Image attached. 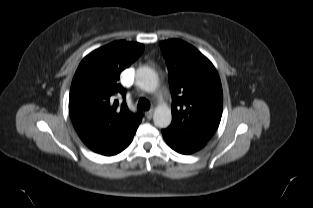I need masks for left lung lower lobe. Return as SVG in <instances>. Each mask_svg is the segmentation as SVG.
Masks as SVG:
<instances>
[{
	"label": "left lung lower lobe",
	"instance_id": "1",
	"mask_svg": "<svg viewBox=\"0 0 313 208\" xmlns=\"http://www.w3.org/2000/svg\"><path fill=\"white\" fill-rule=\"evenodd\" d=\"M162 134L168 145L173 150L181 154L194 153L206 145V143L194 142L179 138L178 136L171 132H168L167 130H162Z\"/></svg>",
	"mask_w": 313,
	"mask_h": 208
}]
</instances>
